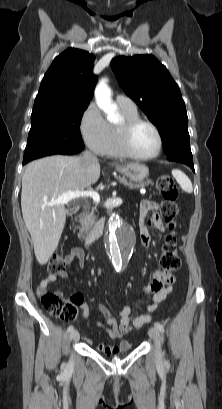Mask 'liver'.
Masks as SVG:
<instances>
[{
    "label": "liver",
    "mask_w": 222,
    "mask_h": 409,
    "mask_svg": "<svg viewBox=\"0 0 222 409\" xmlns=\"http://www.w3.org/2000/svg\"><path fill=\"white\" fill-rule=\"evenodd\" d=\"M100 177L99 162L82 157L49 156L30 162L22 176L21 209L40 265L47 263L63 232L67 210L47 205L67 191L84 190Z\"/></svg>",
    "instance_id": "obj_1"
}]
</instances>
